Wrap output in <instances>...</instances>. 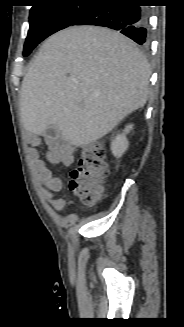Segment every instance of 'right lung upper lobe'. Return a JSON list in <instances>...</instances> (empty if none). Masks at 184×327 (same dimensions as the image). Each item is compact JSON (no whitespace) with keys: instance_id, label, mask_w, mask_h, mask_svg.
<instances>
[{"instance_id":"obj_1","label":"right lung upper lobe","mask_w":184,"mask_h":327,"mask_svg":"<svg viewBox=\"0 0 184 327\" xmlns=\"http://www.w3.org/2000/svg\"><path fill=\"white\" fill-rule=\"evenodd\" d=\"M37 3H42V2H47V1H52V0H35ZM34 7V6H33Z\"/></svg>"}]
</instances>
